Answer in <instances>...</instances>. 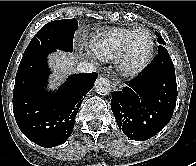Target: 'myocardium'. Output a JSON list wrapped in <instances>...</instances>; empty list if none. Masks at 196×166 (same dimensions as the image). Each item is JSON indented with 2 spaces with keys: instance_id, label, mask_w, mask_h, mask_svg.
<instances>
[{
  "instance_id": "myocardium-1",
  "label": "myocardium",
  "mask_w": 196,
  "mask_h": 166,
  "mask_svg": "<svg viewBox=\"0 0 196 166\" xmlns=\"http://www.w3.org/2000/svg\"><path fill=\"white\" fill-rule=\"evenodd\" d=\"M145 32L149 37V47L145 56L139 61L134 62L131 56L130 42L134 34ZM155 42L153 34L146 28L133 29L125 39V46L122 54L118 58V70L125 77H135L141 74L152 62L154 57Z\"/></svg>"
}]
</instances>
